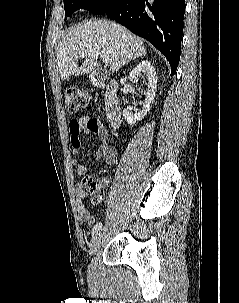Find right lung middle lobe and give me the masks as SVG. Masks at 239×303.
<instances>
[{"label":"right lung middle lobe","instance_id":"dd1d6c3e","mask_svg":"<svg viewBox=\"0 0 239 303\" xmlns=\"http://www.w3.org/2000/svg\"><path fill=\"white\" fill-rule=\"evenodd\" d=\"M105 1L106 0H64L65 20L68 16H71V14L80 9L91 12Z\"/></svg>","mask_w":239,"mask_h":303}]
</instances>
